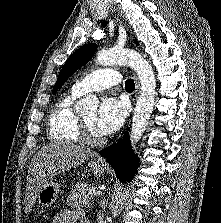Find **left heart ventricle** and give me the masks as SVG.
Segmentation results:
<instances>
[{
  "instance_id": "1",
  "label": "left heart ventricle",
  "mask_w": 221,
  "mask_h": 223,
  "mask_svg": "<svg viewBox=\"0 0 221 223\" xmlns=\"http://www.w3.org/2000/svg\"><path fill=\"white\" fill-rule=\"evenodd\" d=\"M85 119L86 123L90 127L91 131L98 136H101V134L97 131L96 129V118H97V113L96 111L89 112L83 116Z\"/></svg>"
}]
</instances>
